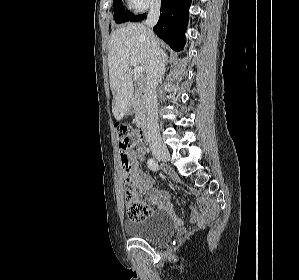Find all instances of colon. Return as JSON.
Here are the masks:
<instances>
[{"instance_id": "colon-1", "label": "colon", "mask_w": 299, "mask_h": 280, "mask_svg": "<svg viewBox=\"0 0 299 280\" xmlns=\"http://www.w3.org/2000/svg\"><path fill=\"white\" fill-rule=\"evenodd\" d=\"M115 129L123 168L126 214L130 220L140 221L151 214V209L145 201L139 198V192L137 188L130 183L128 175L130 169L128 154L134 138L133 132L132 129L125 124H118Z\"/></svg>"}]
</instances>
